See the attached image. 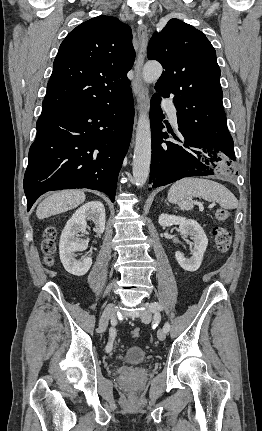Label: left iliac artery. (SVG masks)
I'll return each instance as SVG.
<instances>
[{"mask_svg": "<svg viewBox=\"0 0 262 431\" xmlns=\"http://www.w3.org/2000/svg\"><path fill=\"white\" fill-rule=\"evenodd\" d=\"M151 311L155 314H157L158 311H161L163 309L162 305L158 302H153L150 305ZM163 330L165 332H168L170 330V324L168 322L165 323Z\"/></svg>", "mask_w": 262, "mask_h": 431, "instance_id": "44dca946", "label": "left iliac artery"}]
</instances>
